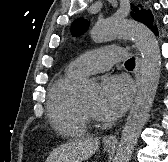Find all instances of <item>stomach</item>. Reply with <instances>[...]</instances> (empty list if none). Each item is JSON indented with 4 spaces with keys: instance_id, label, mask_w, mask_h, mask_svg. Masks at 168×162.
I'll list each match as a JSON object with an SVG mask.
<instances>
[{
    "instance_id": "0dacf381",
    "label": "stomach",
    "mask_w": 168,
    "mask_h": 162,
    "mask_svg": "<svg viewBox=\"0 0 168 162\" xmlns=\"http://www.w3.org/2000/svg\"><path fill=\"white\" fill-rule=\"evenodd\" d=\"M114 147L113 146H105L104 149L106 151H111Z\"/></svg>"
}]
</instances>
